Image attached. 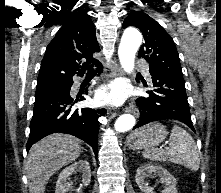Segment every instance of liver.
Masks as SVG:
<instances>
[{"mask_svg": "<svg viewBox=\"0 0 221 193\" xmlns=\"http://www.w3.org/2000/svg\"><path fill=\"white\" fill-rule=\"evenodd\" d=\"M80 152L79 140L69 134H51L35 143L25 165L29 193H44L49 178L75 161Z\"/></svg>", "mask_w": 221, "mask_h": 193, "instance_id": "obj_1", "label": "liver"}]
</instances>
